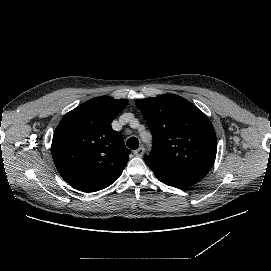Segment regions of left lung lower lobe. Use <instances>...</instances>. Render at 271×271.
Returning a JSON list of instances; mask_svg holds the SVG:
<instances>
[{"label":"left lung lower lobe","mask_w":271,"mask_h":271,"mask_svg":"<svg viewBox=\"0 0 271 271\" xmlns=\"http://www.w3.org/2000/svg\"><path fill=\"white\" fill-rule=\"evenodd\" d=\"M144 160L161 182L176 188L185 189L194 185L208 173L204 169L165 163L151 156H145Z\"/></svg>","instance_id":"left-lung-lower-lobe-1"}]
</instances>
